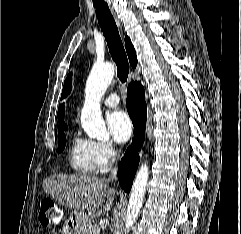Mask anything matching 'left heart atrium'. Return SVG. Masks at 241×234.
Here are the masks:
<instances>
[{
	"mask_svg": "<svg viewBox=\"0 0 241 234\" xmlns=\"http://www.w3.org/2000/svg\"><path fill=\"white\" fill-rule=\"evenodd\" d=\"M107 126L113 139L118 143L126 142L132 134V122L122 110H116L107 117Z\"/></svg>",
	"mask_w": 241,
	"mask_h": 234,
	"instance_id": "left-heart-atrium-1",
	"label": "left heart atrium"
}]
</instances>
